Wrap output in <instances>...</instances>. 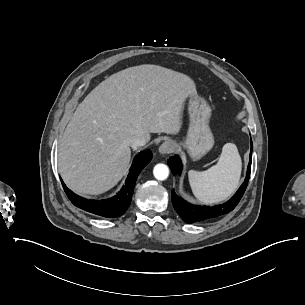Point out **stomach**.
Here are the masks:
<instances>
[{"instance_id": "stomach-1", "label": "stomach", "mask_w": 305, "mask_h": 305, "mask_svg": "<svg viewBox=\"0 0 305 305\" xmlns=\"http://www.w3.org/2000/svg\"><path fill=\"white\" fill-rule=\"evenodd\" d=\"M189 112L191 127L186 145L191 156L197 159L209 151L214 142L208 128L211 110L204 100L196 96L190 100Z\"/></svg>"}]
</instances>
